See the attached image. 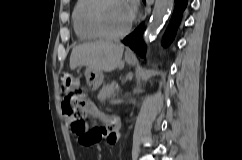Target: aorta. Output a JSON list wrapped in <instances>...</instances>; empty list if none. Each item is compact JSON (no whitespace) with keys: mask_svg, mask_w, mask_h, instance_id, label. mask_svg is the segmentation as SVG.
<instances>
[{"mask_svg":"<svg viewBox=\"0 0 242 160\" xmlns=\"http://www.w3.org/2000/svg\"><path fill=\"white\" fill-rule=\"evenodd\" d=\"M173 6V0H155L148 28L145 32V41L148 42L160 29L164 18Z\"/></svg>","mask_w":242,"mask_h":160,"instance_id":"aorta-1","label":"aorta"}]
</instances>
